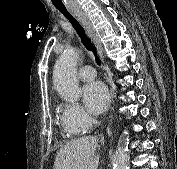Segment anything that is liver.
Segmentation results:
<instances>
[{
    "mask_svg": "<svg viewBox=\"0 0 177 169\" xmlns=\"http://www.w3.org/2000/svg\"><path fill=\"white\" fill-rule=\"evenodd\" d=\"M99 141L95 137H83L65 144L57 153L54 169H97L99 155L95 156Z\"/></svg>",
    "mask_w": 177,
    "mask_h": 169,
    "instance_id": "6515ba94",
    "label": "liver"
}]
</instances>
